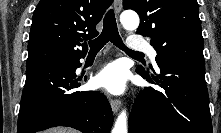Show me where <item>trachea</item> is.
Here are the masks:
<instances>
[{
    "mask_svg": "<svg viewBox=\"0 0 221 133\" xmlns=\"http://www.w3.org/2000/svg\"><path fill=\"white\" fill-rule=\"evenodd\" d=\"M109 41L121 50L125 51L128 55L140 57L144 56L143 53L132 51L124 45L118 33L115 14L112 9H110L104 17L102 33L96 39L89 41L90 52L100 51Z\"/></svg>",
    "mask_w": 221,
    "mask_h": 133,
    "instance_id": "obj_1",
    "label": "trachea"
}]
</instances>
